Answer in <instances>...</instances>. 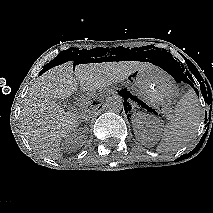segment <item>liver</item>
Here are the masks:
<instances>
[{"instance_id": "1", "label": "liver", "mask_w": 213, "mask_h": 213, "mask_svg": "<svg viewBox=\"0 0 213 213\" xmlns=\"http://www.w3.org/2000/svg\"><path fill=\"white\" fill-rule=\"evenodd\" d=\"M146 62L114 61L57 65L41 76L24 97L20 121L24 135L39 154L53 160L61 159L60 143L63 137L79 125L81 113L64 111L57 100H64L78 89L95 91L108 86L111 81H121L134 71L152 68ZM75 75V76H74Z\"/></svg>"}]
</instances>
